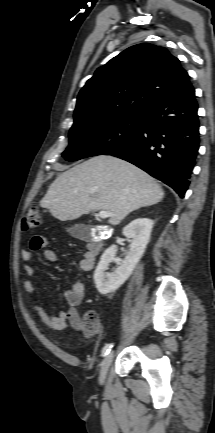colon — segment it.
<instances>
[{"mask_svg":"<svg viewBox=\"0 0 215 433\" xmlns=\"http://www.w3.org/2000/svg\"><path fill=\"white\" fill-rule=\"evenodd\" d=\"M41 224V217L39 214L38 206H29L22 218V230L27 232L37 229ZM86 324V335H91L95 327L98 325V316L95 312L89 311L84 317Z\"/></svg>","mask_w":215,"mask_h":433,"instance_id":"1","label":"colon"}]
</instances>
